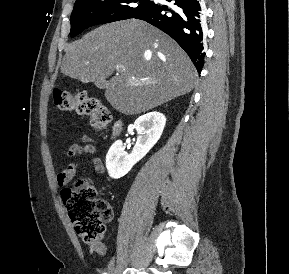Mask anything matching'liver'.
Here are the masks:
<instances>
[{"mask_svg":"<svg viewBox=\"0 0 289 274\" xmlns=\"http://www.w3.org/2000/svg\"><path fill=\"white\" fill-rule=\"evenodd\" d=\"M118 66L124 70L106 82ZM61 72L83 83L106 82L120 113L146 112L191 92L197 72L168 35L136 19L102 25L67 47Z\"/></svg>","mask_w":289,"mask_h":274,"instance_id":"1","label":"liver"}]
</instances>
